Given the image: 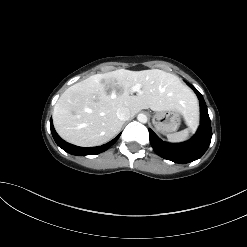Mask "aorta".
Wrapping results in <instances>:
<instances>
[{"mask_svg":"<svg viewBox=\"0 0 247 247\" xmlns=\"http://www.w3.org/2000/svg\"><path fill=\"white\" fill-rule=\"evenodd\" d=\"M137 120H138L139 122H141V123H146L147 120H148V118H147V116H146L145 114L140 113V114H138V116H137Z\"/></svg>","mask_w":247,"mask_h":247,"instance_id":"obj_1","label":"aorta"}]
</instances>
